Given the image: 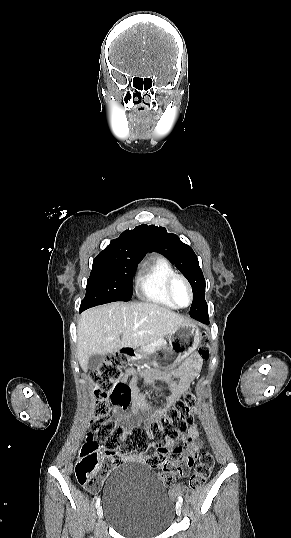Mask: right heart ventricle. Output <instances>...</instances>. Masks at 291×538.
<instances>
[{"label":"right heart ventricle","mask_w":291,"mask_h":538,"mask_svg":"<svg viewBox=\"0 0 291 538\" xmlns=\"http://www.w3.org/2000/svg\"><path fill=\"white\" fill-rule=\"evenodd\" d=\"M176 274L169 260L162 255H154L142 264L136 277V287L148 302L176 308L167 294V281Z\"/></svg>","instance_id":"right-heart-ventricle-1"}]
</instances>
